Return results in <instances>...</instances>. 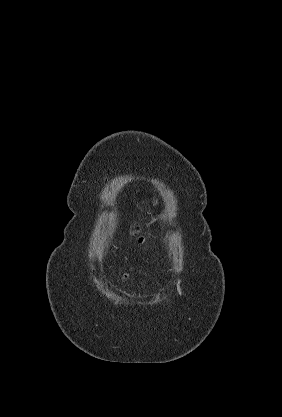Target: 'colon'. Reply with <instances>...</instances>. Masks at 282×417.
I'll list each match as a JSON object with an SVG mask.
<instances>
[{
    "instance_id": "5ec220e1",
    "label": "colon",
    "mask_w": 282,
    "mask_h": 417,
    "mask_svg": "<svg viewBox=\"0 0 282 417\" xmlns=\"http://www.w3.org/2000/svg\"><path fill=\"white\" fill-rule=\"evenodd\" d=\"M132 234L137 237L139 239V241L143 242V243H148L150 241V235L149 234H144L143 232H141L140 228L135 227L132 230Z\"/></svg>"
}]
</instances>
